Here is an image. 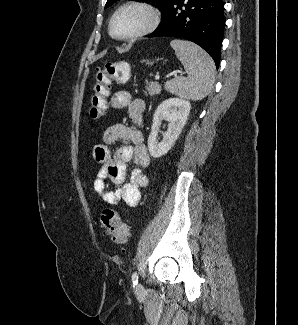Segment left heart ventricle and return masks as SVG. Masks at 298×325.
<instances>
[{
	"instance_id": "left-heart-ventricle-1",
	"label": "left heart ventricle",
	"mask_w": 298,
	"mask_h": 325,
	"mask_svg": "<svg viewBox=\"0 0 298 325\" xmlns=\"http://www.w3.org/2000/svg\"><path fill=\"white\" fill-rule=\"evenodd\" d=\"M142 23L143 19L138 13L121 14L115 21L114 34L117 37L128 38L140 29Z\"/></svg>"
}]
</instances>
